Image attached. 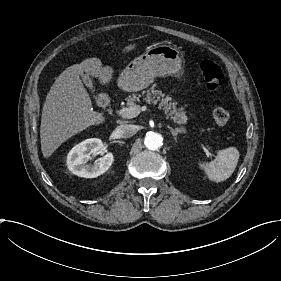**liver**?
<instances>
[{"mask_svg":"<svg viewBox=\"0 0 281 281\" xmlns=\"http://www.w3.org/2000/svg\"><path fill=\"white\" fill-rule=\"evenodd\" d=\"M83 71L99 76L103 83L111 77L110 68H101L99 59L91 58L68 67L56 78L42 108L40 139L44 157L50 156L72 135L103 119L92 109L79 77Z\"/></svg>","mask_w":281,"mask_h":281,"instance_id":"6515ba94","label":"liver"}]
</instances>
